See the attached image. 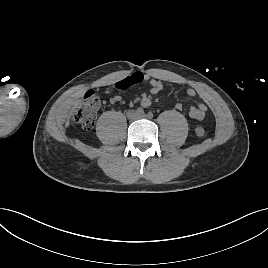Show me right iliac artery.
<instances>
[{"instance_id":"obj_1","label":"right iliac artery","mask_w":268,"mask_h":268,"mask_svg":"<svg viewBox=\"0 0 268 268\" xmlns=\"http://www.w3.org/2000/svg\"><path fill=\"white\" fill-rule=\"evenodd\" d=\"M137 114H144L143 108L139 107L136 109Z\"/></svg>"}]
</instances>
